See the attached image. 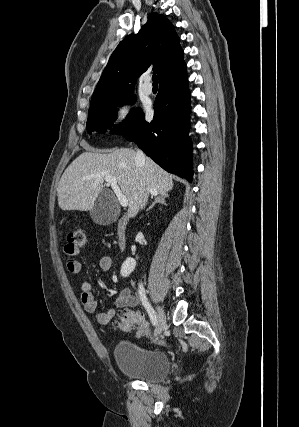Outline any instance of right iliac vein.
<instances>
[{
	"mask_svg": "<svg viewBox=\"0 0 299 427\" xmlns=\"http://www.w3.org/2000/svg\"><path fill=\"white\" fill-rule=\"evenodd\" d=\"M166 327V316L164 310L159 306L157 312V324L154 332V336H159Z\"/></svg>",
	"mask_w": 299,
	"mask_h": 427,
	"instance_id": "63e3f726",
	"label": "right iliac vein"
}]
</instances>
